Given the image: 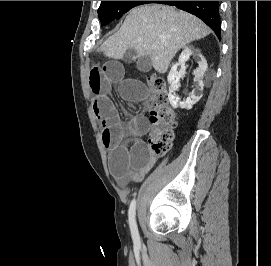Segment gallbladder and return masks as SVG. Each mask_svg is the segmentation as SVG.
<instances>
[{
	"label": "gallbladder",
	"mask_w": 271,
	"mask_h": 266,
	"mask_svg": "<svg viewBox=\"0 0 271 266\" xmlns=\"http://www.w3.org/2000/svg\"><path fill=\"white\" fill-rule=\"evenodd\" d=\"M123 60L126 63H130L132 61L136 60V53L134 50H128L124 57ZM136 67L139 71L141 72H149L151 70V60L148 56H143L140 57L137 61H136Z\"/></svg>",
	"instance_id": "gallbladder-1"
}]
</instances>
